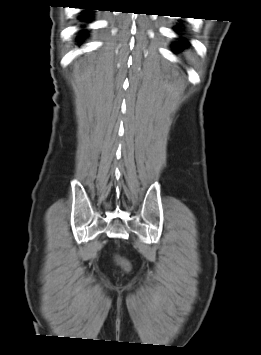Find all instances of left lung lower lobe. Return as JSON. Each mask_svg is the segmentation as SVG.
<instances>
[{"instance_id":"obj_1","label":"left lung lower lobe","mask_w":261,"mask_h":355,"mask_svg":"<svg viewBox=\"0 0 261 355\" xmlns=\"http://www.w3.org/2000/svg\"><path fill=\"white\" fill-rule=\"evenodd\" d=\"M182 18H183V17H182ZM179 29H180V27H179ZM187 44H188V42H187L184 38H182V39L180 40L179 45H175V46H174V51L177 52L178 50H182V49L186 48V47H187Z\"/></svg>"}]
</instances>
